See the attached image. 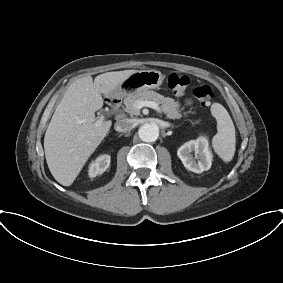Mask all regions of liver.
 Masks as SVG:
<instances>
[{"label": "liver", "mask_w": 283, "mask_h": 283, "mask_svg": "<svg viewBox=\"0 0 283 283\" xmlns=\"http://www.w3.org/2000/svg\"><path fill=\"white\" fill-rule=\"evenodd\" d=\"M136 71L103 73L94 82L87 75L68 87L44 137L47 165L58 183L74 182L112 125L110 120L99 125L95 121V112L103 106L102 94L109 95Z\"/></svg>", "instance_id": "1"}]
</instances>
